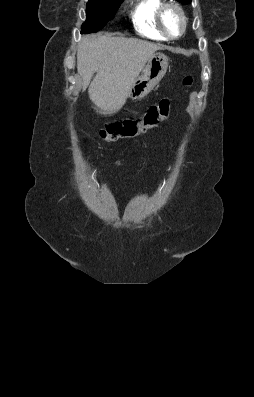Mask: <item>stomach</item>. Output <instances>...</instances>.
<instances>
[{
	"label": "stomach",
	"instance_id": "stomach-1",
	"mask_svg": "<svg viewBox=\"0 0 254 397\" xmlns=\"http://www.w3.org/2000/svg\"><path fill=\"white\" fill-rule=\"evenodd\" d=\"M168 57L163 53H154L143 73L130 86L127 98L132 101L143 99L164 77L168 68Z\"/></svg>",
	"mask_w": 254,
	"mask_h": 397
}]
</instances>
